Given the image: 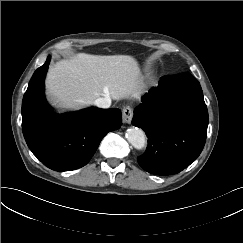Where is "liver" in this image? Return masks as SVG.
<instances>
[{
    "label": "liver",
    "mask_w": 243,
    "mask_h": 243,
    "mask_svg": "<svg viewBox=\"0 0 243 243\" xmlns=\"http://www.w3.org/2000/svg\"><path fill=\"white\" fill-rule=\"evenodd\" d=\"M141 88L139 64L128 55L78 53L58 61L46 77L48 99L61 111L85 108L100 97L139 98Z\"/></svg>",
    "instance_id": "obj_1"
}]
</instances>
